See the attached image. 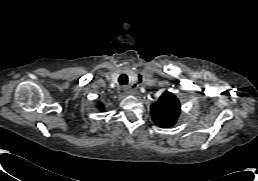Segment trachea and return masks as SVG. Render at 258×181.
Instances as JSON below:
<instances>
[{"label":"trachea","instance_id":"trachea-1","mask_svg":"<svg viewBox=\"0 0 258 181\" xmlns=\"http://www.w3.org/2000/svg\"><path fill=\"white\" fill-rule=\"evenodd\" d=\"M119 83H120L121 85L127 84V83H128V77H127L125 74H122V75L119 77Z\"/></svg>","mask_w":258,"mask_h":181}]
</instances>
